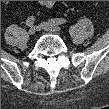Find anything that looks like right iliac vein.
Listing matches in <instances>:
<instances>
[{
    "label": "right iliac vein",
    "mask_w": 109,
    "mask_h": 109,
    "mask_svg": "<svg viewBox=\"0 0 109 109\" xmlns=\"http://www.w3.org/2000/svg\"><path fill=\"white\" fill-rule=\"evenodd\" d=\"M36 28L35 27H31L29 30H28V33L30 34V35H34L35 33H36Z\"/></svg>",
    "instance_id": "1"
}]
</instances>
